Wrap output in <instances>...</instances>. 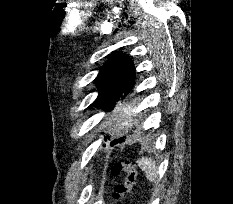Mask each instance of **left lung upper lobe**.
<instances>
[{
  "instance_id": "obj_1",
  "label": "left lung upper lobe",
  "mask_w": 233,
  "mask_h": 204,
  "mask_svg": "<svg viewBox=\"0 0 233 204\" xmlns=\"http://www.w3.org/2000/svg\"><path fill=\"white\" fill-rule=\"evenodd\" d=\"M134 79L135 68L130 57L113 52L112 57L101 67L95 80L99 88L96 102L105 110H112L120 97L132 88Z\"/></svg>"
}]
</instances>
